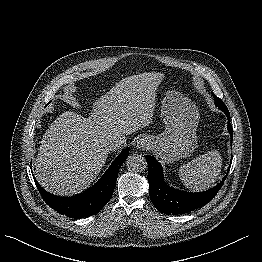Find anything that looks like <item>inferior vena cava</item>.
<instances>
[{"label": "inferior vena cava", "instance_id": "obj_1", "mask_svg": "<svg viewBox=\"0 0 262 262\" xmlns=\"http://www.w3.org/2000/svg\"><path fill=\"white\" fill-rule=\"evenodd\" d=\"M126 146V140L123 138H118L108 142L107 147L110 151L121 149Z\"/></svg>", "mask_w": 262, "mask_h": 262}]
</instances>
